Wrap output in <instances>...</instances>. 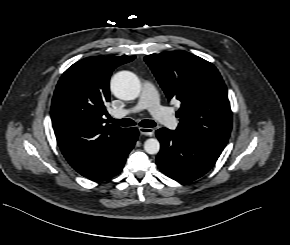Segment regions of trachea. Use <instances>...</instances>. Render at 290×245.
<instances>
[{
    "label": "trachea",
    "instance_id": "3493384b",
    "mask_svg": "<svg viewBox=\"0 0 290 245\" xmlns=\"http://www.w3.org/2000/svg\"><path fill=\"white\" fill-rule=\"evenodd\" d=\"M109 122L116 124L118 126H134L136 123L129 118H124V119H113L109 118ZM139 125L141 127L145 128H152L156 126V123L153 120H142Z\"/></svg>",
    "mask_w": 290,
    "mask_h": 245
}]
</instances>
